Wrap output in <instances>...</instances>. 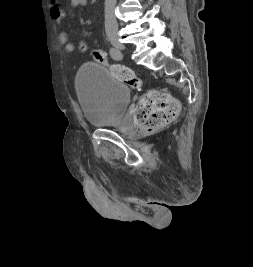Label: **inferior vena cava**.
Here are the masks:
<instances>
[{
	"mask_svg": "<svg viewBox=\"0 0 253 267\" xmlns=\"http://www.w3.org/2000/svg\"><path fill=\"white\" fill-rule=\"evenodd\" d=\"M116 0H105V28L106 30H113L118 28L117 20L115 18Z\"/></svg>",
	"mask_w": 253,
	"mask_h": 267,
	"instance_id": "1",
	"label": "inferior vena cava"
}]
</instances>
